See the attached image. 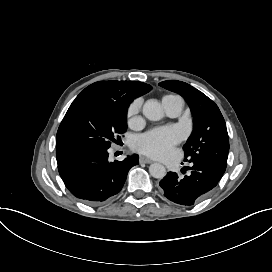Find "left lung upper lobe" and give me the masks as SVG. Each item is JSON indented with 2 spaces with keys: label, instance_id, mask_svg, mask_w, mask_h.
I'll use <instances>...</instances> for the list:
<instances>
[{
  "label": "left lung upper lobe",
  "instance_id": "1",
  "mask_svg": "<svg viewBox=\"0 0 272 272\" xmlns=\"http://www.w3.org/2000/svg\"><path fill=\"white\" fill-rule=\"evenodd\" d=\"M159 85L180 94L194 116L193 132L183 147L185 161H199L225 171L229 138L224 118L217 105L185 82L168 80Z\"/></svg>",
  "mask_w": 272,
  "mask_h": 272
}]
</instances>
